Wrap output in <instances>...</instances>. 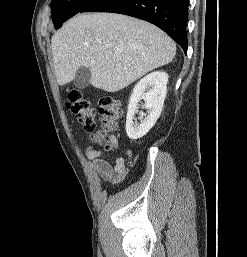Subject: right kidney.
I'll use <instances>...</instances> for the list:
<instances>
[{
    "instance_id": "1",
    "label": "right kidney",
    "mask_w": 247,
    "mask_h": 257,
    "mask_svg": "<svg viewBox=\"0 0 247 257\" xmlns=\"http://www.w3.org/2000/svg\"><path fill=\"white\" fill-rule=\"evenodd\" d=\"M168 74L155 71L142 78L134 87L130 96L126 117V133L132 140L142 138L155 125L159 118L167 93ZM145 101L147 116L141 123H134L138 102Z\"/></svg>"
}]
</instances>
